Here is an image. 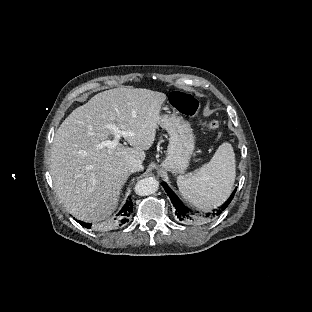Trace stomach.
<instances>
[{
    "label": "stomach",
    "mask_w": 312,
    "mask_h": 312,
    "mask_svg": "<svg viewBox=\"0 0 312 312\" xmlns=\"http://www.w3.org/2000/svg\"><path fill=\"white\" fill-rule=\"evenodd\" d=\"M162 126L169 134V144L161 168L183 173L194 154L196 137L190 123L182 116L172 114L162 117Z\"/></svg>",
    "instance_id": "stomach-1"
}]
</instances>
